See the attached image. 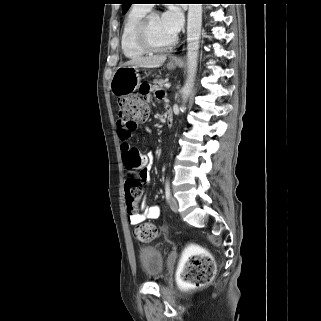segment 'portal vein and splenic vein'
<instances>
[{"label": "portal vein and splenic vein", "mask_w": 321, "mask_h": 321, "mask_svg": "<svg viewBox=\"0 0 321 321\" xmlns=\"http://www.w3.org/2000/svg\"><path fill=\"white\" fill-rule=\"evenodd\" d=\"M170 86H171L170 83L165 84V87H166V88H170Z\"/></svg>", "instance_id": "obj_1"}]
</instances>
